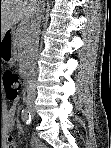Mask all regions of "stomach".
I'll return each mask as SVG.
<instances>
[{"label": "stomach", "instance_id": "stomach-1", "mask_svg": "<svg viewBox=\"0 0 111 148\" xmlns=\"http://www.w3.org/2000/svg\"><path fill=\"white\" fill-rule=\"evenodd\" d=\"M0 59L5 63L12 64L16 60V47L14 42L4 46L0 45Z\"/></svg>", "mask_w": 111, "mask_h": 148}]
</instances>
